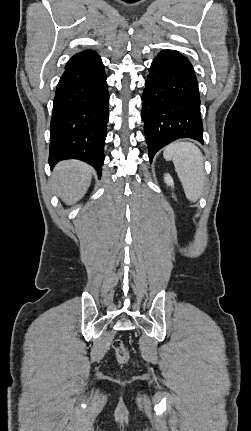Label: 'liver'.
<instances>
[{"label": "liver", "instance_id": "liver-1", "mask_svg": "<svg viewBox=\"0 0 251 431\" xmlns=\"http://www.w3.org/2000/svg\"><path fill=\"white\" fill-rule=\"evenodd\" d=\"M92 173V167L82 161H62L53 170L52 186L65 204L71 205L86 194Z\"/></svg>", "mask_w": 251, "mask_h": 431}]
</instances>
